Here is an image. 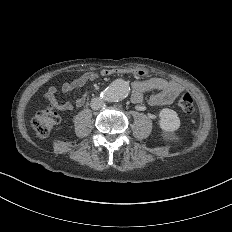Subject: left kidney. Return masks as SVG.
I'll list each match as a JSON object with an SVG mask.
<instances>
[{
	"label": "left kidney",
	"instance_id": "obj_1",
	"mask_svg": "<svg viewBox=\"0 0 232 232\" xmlns=\"http://www.w3.org/2000/svg\"><path fill=\"white\" fill-rule=\"evenodd\" d=\"M160 127L165 132H174L180 127V119L177 113L171 109L164 108L159 113Z\"/></svg>",
	"mask_w": 232,
	"mask_h": 232
}]
</instances>
